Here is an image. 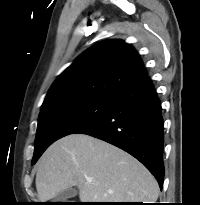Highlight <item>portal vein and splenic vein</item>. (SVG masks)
Instances as JSON below:
<instances>
[{"label": "portal vein and splenic vein", "instance_id": "portal-vein-and-splenic-vein-1", "mask_svg": "<svg viewBox=\"0 0 200 205\" xmlns=\"http://www.w3.org/2000/svg\"><path fill=\"white\" fill-rule=\"evenodd\" d=\"M86 180H87L88 183H91V182H92V179H91V178H87Z\"/></svg>", "mask_w": 200, "mask_h": 205}]
</instances>
